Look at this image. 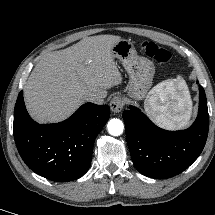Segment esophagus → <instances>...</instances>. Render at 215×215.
Wrapping results in <instances>:
<instances>
[{
	"label": "esophagus",
	"instance_id": "1",
	"mask_svg": "<svg viewBox=\"0 0 215 215\" xmlns=\"http://www.w3.org/2000/svg\"><path fill=\"white\" fill-rule=\"evenodd\" d=\"M124 107V101L120 96H115L110 102V109L113 113H120Z\"/></svg>",
	"mask_w": 215,
	"mask_h": 215
}]
</instances>
